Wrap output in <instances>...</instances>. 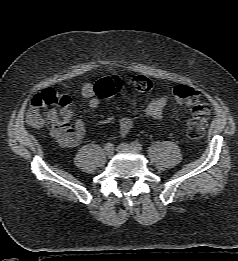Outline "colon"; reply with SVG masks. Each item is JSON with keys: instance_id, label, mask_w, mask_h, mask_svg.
<instances>
[{"instance_id": "5ec220e1", "label": "colon", "mask_w": 238, "mask_h": 261, "mask_svg": "<svg viewBox=\"0 0 238 261\" xmlns=\"http://www.w3.org/2000/svg\"><path fill=\"white\" fill-rule=\"evenodd\" d=\"M131 86L136 91L144 93L151 89L152 83L147 77L139 75L132 79ZM123 88L124 82L118 77H106L95 84L96 92L102 98L113 96ZM173 97L180 105L191 108L192 117L188 122V132L192 138L200 137L210 114V106L201 92L194 87L180 84L174 87ZM70 104L68 96L51 88L45 89L32 98L28 121L34 127H41L52 113L64 118L70 112ZM46 109L49 111L45 112Z\"/></svg>"}]
</instances>
